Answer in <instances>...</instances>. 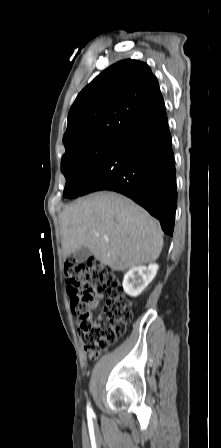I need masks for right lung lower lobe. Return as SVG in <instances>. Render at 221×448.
<instances>
[{"label":"right lung lower lobe","instance_id":"98d812e1","mask_svg":"<svg viewBox=\"0 0 221 448\" xmlns=\"http://www.w3.org/2000/svg\"><path fill=\"white\" fill-rule=\"evenodd\" d=\"M99 190L124 194L159 219L173 235L176 171L165 106L125 130L81 195Z\"/></svg>","mask_w":221,"mask_h":448}]
</instances>
